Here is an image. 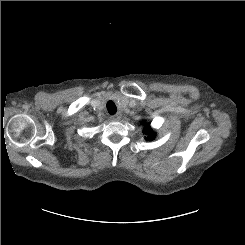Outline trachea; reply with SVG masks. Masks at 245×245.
<instances>
[{"label": "trachea", "instance_id": "3493384b", "mask_svg": "<svg viewBox=\"0 0 245 245\" xmlns=\"http://www.w3.org/2000/svg\"><path fill=\"white\" fill-rule=\"evenodd\" d=\"M107 110L110 115H113L116 112V106L113 101H108L107 102Z\"/></svg>", "mask_w": 245, "mask_h": 245}]
</instances>
